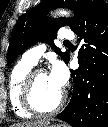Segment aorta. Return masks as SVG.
<instances>
[{"label": "aorta", "instance_id": "1", "mask_svg": "<svg viewBox=\"0 0 108 127\" xmlns=\"http://www.w3.org/2000/svg\"><path fill=\"white\" fill-rule=\"evenodd\" d=\"M57 14L61 15V16H69L70 15V13L66 10H59V11H57Z\"/></svg>", "mask_w": 108, "mask_h": 127}]
</instances>
